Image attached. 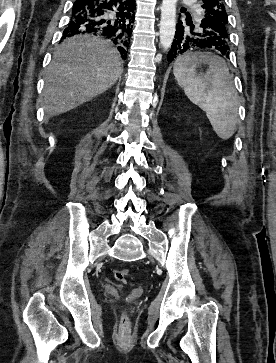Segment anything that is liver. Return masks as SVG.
<instances>
[{"label": "liver", "instance_id": "liver-1", "mask_svg": "<svg viewBox=\"0 0 276 363\" xmlns=\"http://www.w3.org/2000/svg\"><path fill=\"white\" fill-rule=\"evenodd\" d=\"M123 72L113 45L80 35L62 42L53 53L43 89L47 117L70 111L113 86Z\"/></svg>", "mask_w": 276, "mask_h": 363}]
</instances>
